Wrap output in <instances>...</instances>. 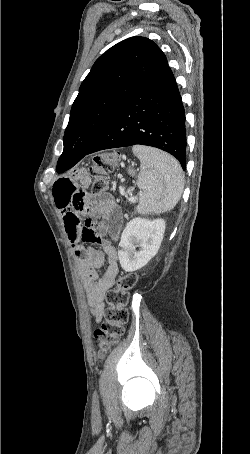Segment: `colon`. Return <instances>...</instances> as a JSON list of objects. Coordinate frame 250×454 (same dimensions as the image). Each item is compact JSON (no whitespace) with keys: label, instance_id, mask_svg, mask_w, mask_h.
I'll return each mask as SVG.
<instances>
[{"label":"colon","instance_id":"colon-1","mask_svg":"<svg viewBox=\"0 0 250 454\" xmlns=\"http://www.w3.org/2000/svg\"><path fill=\"white\" fill-rule=\"evenodd\" d=\"M118 161L117 152L100 153L93 157L90 166L93 193L101 194L107 189L109 174L116 168ZM137 281L138 276L135 273L121 274L116 287L107 292L108 308L105 313V321L94 332L100 355H105L122 336L124 326L128 321L127 305L130 292Z\"/></svg>","mask_w":250,"mask_h":454}]
</instances>
